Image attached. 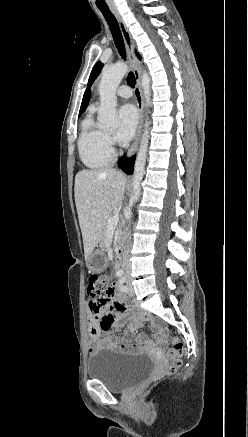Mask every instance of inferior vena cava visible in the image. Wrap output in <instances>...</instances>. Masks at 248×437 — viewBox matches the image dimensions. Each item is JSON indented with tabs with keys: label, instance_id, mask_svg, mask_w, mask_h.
Instances as JSON below:
<instances>
[{
	"label": "inferior vena cava",
	"instance_id": "inferior-vena-cava-1",
	"mask_svg": "<svg viewBox=\"0 0 248 437\" xmlns=\"http://www.w3.org/2000/svg\"><path fill=\"white\" fill-rule=\"evenodd\" d=\"M124 265L126 268H130V262H129L128 256H125V258H124Z\"/></svg>",
	"mask_w": 248,
	"mask_h": 437
}]
</instances>
